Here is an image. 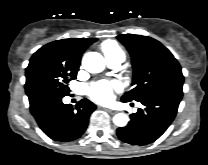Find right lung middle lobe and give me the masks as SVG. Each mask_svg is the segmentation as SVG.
<instances>
[{"label": "right lung middle lobe", "instance_id": "dd1d6c3e", "mask_svg": "<svg viewBox=\"0 0 208 165\" xmlns=\"http://www.w3.org/2000/svg\"><path fill=\"white\" fill-rule=\"evenodd\" d=\"M80 60L65 50L45 45L33 54L26 68L25 91L33 104L47 96L69 95V81L76 79Z\"/></svg>", "mask_w": 208, "mask_h": 165}]
</instances>
